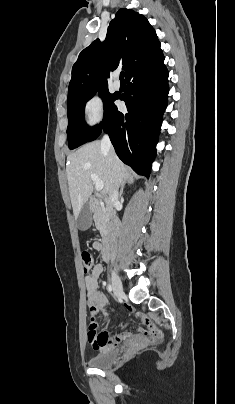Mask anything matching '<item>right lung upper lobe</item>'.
I'll use <instances>...</instances> for the list:
<instances>
[{"mask_svg":"<svg viewBox=\"0 0 235 404\" xmlns=\"http://www.w3.org/2000/svg\"><path fill=\"white\" fill-rule=\"evenodd\" d=\"M163 57L155 30L141 14L120 9L110 22L104 42L93 41L72 68L68 102L107 89L109 71L122 65L126 77Z\"/></svg>","mask_w":235,"mask_h":404,"instance_id":"obj_1","label":"right lung upper lobe"}]
</instances>
